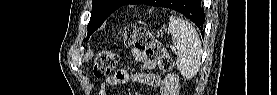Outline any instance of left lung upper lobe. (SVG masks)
Returning <instances> with one entry per match:
<instances>
[{
	"instance_id": "obj_1",
	"label": "left lung upper lobe",
	"mask_w": 277,
	"mask_h": 95,
	"mask_svg": "<svg viewBox=\"0 0 277 95\" xmlns=\"http://www.w3.org/2000/svg\"><path fill=\"white\" fill-rule=\"evenodd\" d=\"M131 0H93L92 1V14L87 26L88 29V38L90 35L97 30L104 21L119 7L128 5ZM176 0H172L175 2ZM181 1V0H180ZM172 3L169 5L171 6ZM151 6L161 5L160 0H152L150 3Z\"/></svg>"
}]
</instances>
